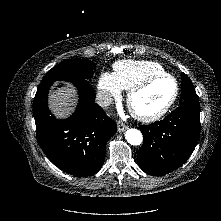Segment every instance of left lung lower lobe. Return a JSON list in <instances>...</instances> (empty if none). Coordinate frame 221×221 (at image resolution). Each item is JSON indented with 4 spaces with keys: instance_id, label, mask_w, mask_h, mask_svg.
<instances>
[{
    "instance_id": "obj_1",
    "label": "left lung lower lobe",
    "mask_w": 221,
    "mask_h": 221,
    "mask_svg": "<svg viewBox=\"0 0 221 221\" xmlns=\"http://www.w3.org/2000/svg\"><path fill=\"white\" fill-rule=\"evenodd\" d=\"M144 141L140 168L163 175L180 167L192 154L200 135V107L179 106L165 119L140 127Z\"/></svg>"
}]
</instances>
